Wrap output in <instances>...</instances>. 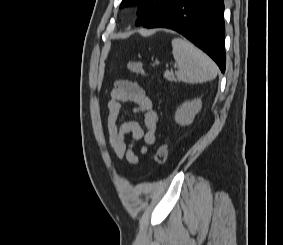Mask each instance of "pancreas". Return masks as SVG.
I'll list each match as a JSON object with an SVG mask.
<instances>
[{"mask_svg":"<svg viewBox=\"0 0 283 245\" xmlns=\"http://www.w3.org/2000/svg\"><path fill=\"white\" fill-rule=\"evenodd\" d=\"M164 77L168 80V81H174L175 77L173 75V71H166L164 73Z\"/></svg>","mask_w":283,"mask_h":245,"instance_id":"obj_1","label":"pancreas"}]
</instances>
